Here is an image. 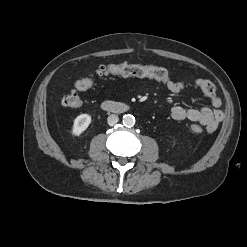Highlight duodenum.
Returning a JSON list of instances; mask_svg holds the SVG:
<instances>
[{"mask_svg":"<svg viewBox=\"0 0 247 247\" xmlns=\"http://www.w3.org/2000/svg\"><path fill=\"white\" fill-rule=\"evenodd\" d=\"M102 107L106 111L117 113L124 112L128 109V107L125 104L114 101H105L103 102Z\"/></svg>","mask_w":247,"mask_h":247,"instance_id":"410a0bca","label":"duodenum"}]
</instances>
